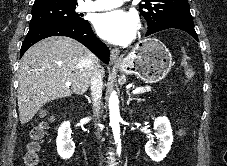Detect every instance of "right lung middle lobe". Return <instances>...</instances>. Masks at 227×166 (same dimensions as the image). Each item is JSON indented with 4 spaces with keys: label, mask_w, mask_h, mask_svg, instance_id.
Returning a JSON list of instances; mask_svg holds the SVG:
<instances>
[{
    "label": "right lung middle lobe",
    "mask_w": 227,
    "mask_h": 166,
    "mask_svg": "<svg viewBox=\"0 0 227 166\" xmlns=\"http://www.w3.org/2000/svg\"><path fill=\"white\" fill-rule=\"evenodd\" d=\"M77 3L48 2L33 5L30 30L53 23L85 25L87 20L75 12Z\"/></svg>",
    "instance_id": "right-lung-middle-lobe-1"
}]
</instances>
